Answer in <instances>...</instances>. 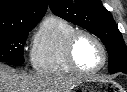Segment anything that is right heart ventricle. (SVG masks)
<instances>
[{
    "label": "right heart ventricle",
    "mask_w": 127,
    "mask_h": 92,
    "mask_svg": "<svg viewBox=\"0 0 127 92\" xmlns=\"http://www.w3.org/2000/svg\"><path fill=\"white\" fill-rule=\"evenodd\" d=\"M74 26L58 16H48L40 24L32 45L33 69L45 75L72 73L65 58V43Z\"/></svg>",
    "instance_id": "right-heart-ventricle-1"
}]
</instances>
